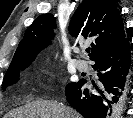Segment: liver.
Returning <instances> with one entry per match:
<instances>
[{"mask_svg":"<svg viewBox=\"0 0 133 118\" xmlns=\"http://www.w3.org/2000/svg\"><path fill=\"white\" fill-rule=\"evenodd\" d=\"M4 118H81V116L61 103L34 101L12 110Z\"/></svg>","mask_w":133,"mask_h":118,"instance_id":"obj_1","label":"liver"}]
</instances>
